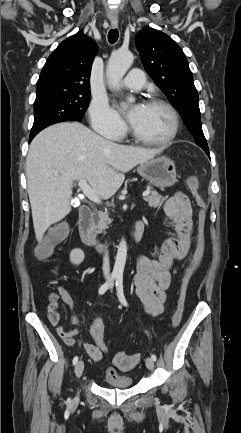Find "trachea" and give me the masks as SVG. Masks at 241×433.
I'll list each match as a JSON object with an SVG mask.
<instances>
[{
    "label": "trachea",
    "mask_w": 241,
    "mask_h": 433,
    "mask_svg": "<svg viewBox=\"0 0 241 433\" xmlns=\"http://www.w3.org/2000/svg\"><path fill=\"white\" fill-rule=\"evenodd\" d=\"M119 38V31L117 29H110L108 33V41L112 44Z\"/></svg>",
    "instance_id": "1"
}]
</instances>
